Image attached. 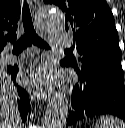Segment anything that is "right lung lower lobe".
I'll use <instances>...</instances> for the list:
<instances>
[{
  "label": "right lung lower lobe",
  "instance_id": "obj_1",
  "mask_svg": "<svg viewBox=\"0 0 125 128\" xmlns=\"http://www.w3.org/2000/svg\"><path fill=\"white\" fill-rule=\"evenodd\" d=\"M5 71L10 75L11 79L13 80L14 84L16 85V74L18 72V66H16V65L8 66L5 69ZM16 87H17V93L19 95L18 108H19V112H20L22 121L24 122L27 118V114L30 109L29 95L24 88H21L18 85H16Z\"/></svg>",
  "mask_w": 125,
  "mask_h": 128
}]
</instances>
